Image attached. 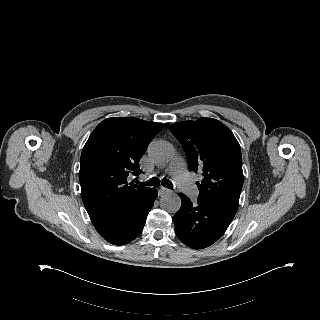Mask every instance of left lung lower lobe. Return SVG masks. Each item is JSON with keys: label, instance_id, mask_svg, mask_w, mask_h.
I'll return each instance as SVG.
<instances>
[{"label": "left lung lower lobe", "instance_id": "0a47b994", "mask_svg": "<svg viewBox=\"0 0 320 320\" xmlns=\"http://www.w3.org/2000/svg\"><path fill=\"white\" fill-rule=\"evenodd\" d=\"M182 205L173 216L178 238L193 249H202L216 242L233 220L232 214L203 199L196 202L180 194Z\"/></svg>", "mask_w": 320, "mask_h": 320}]
</instances>
